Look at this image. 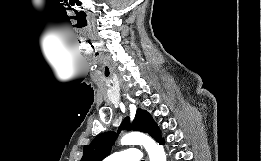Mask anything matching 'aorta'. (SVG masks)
Wrapping results in <instances>:
<instances>
[{
	"label": "aorta",
	"mask_w": 261,
	"mask_h": 161,
	"mask_svg": "<svg viewBox=\"0 0 261 161\" xmlns=\"http://www.w3.org/2000/svg\"><path fill=\"white\" fill-rule=\"evenodd\" d=\"M122 145H143L146 149L150 161H166V154L162 145L157 144L151 137L132 132L126 134L121 139Z\"/></svg>",
	"instance_id": "1"
}]
</instances>
